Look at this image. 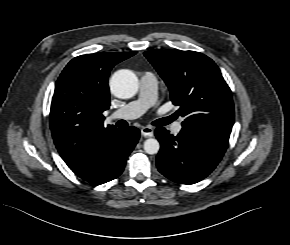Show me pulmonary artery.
Here are the masks:
<instances>
[{
  "instance_id": "pulmonary-artery-1",
  "label": "pulmonary artery",
  "mask_w": 290,
  "mask_h": 245,
  "mask_svg": "<svg viewBox=\"0 0 290 245\" xmlns=\"http://www.w3.org/2000/svg\"><path fill=\"white\" fill-rule=\"evenodd\" d=\"M158 81L155 74L143 73L139 80V94L137 99L125 104L121 109L113 112L110 119H134L144 114L156 102ZM182 129L178 122L173 127V132L178 134Z\"/></svg>"
}]
</instances>
